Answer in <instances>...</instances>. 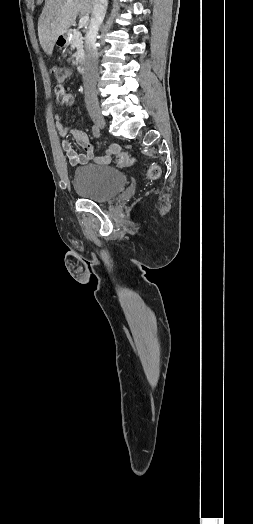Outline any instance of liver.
Segmentation results:
<instances>
[{
  "mask_svg": "<svg viewBox=\"0 0 253 524\" xmlns=\"http://www.w3.org/2000/svg\"><path fill=\"white\" fill-rule=\"evenodd\" d=\"M95 0H45L38 20V36L47 55L53 52L56 39L67 32L77 15H90Z\"/></svg>",
  "mask_w": 253,
  "mask_h": 524,
  "instance_id": "liver-1",
  "label": "liver"
}]
</instances>
